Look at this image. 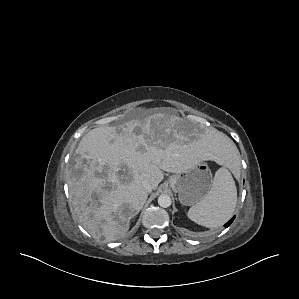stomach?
I'll list each match as a JSON object with an SVG mask.
<instances>
[{
  "label": "stomach",
  "mask_w": 299,
  "mask_h": 299,
  "mask_svg": "<svg viewBox=\"0 0 299 299\" xmlns=\"http://www.w3.org/2000/svg\"><path fill=\"white\" fill-rule=\"evenodd\" d=\"M213 178L208 165L204 162L185 172L175 173L169 178V185L178 193L182 205L191 206L203 200L212 188Z\"/></svg>",
  "instance_id": "stomach-1"
}]
</instances>
